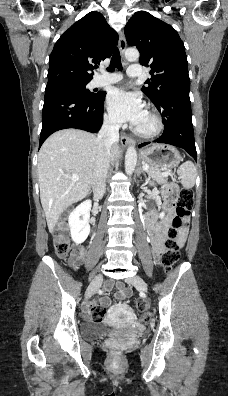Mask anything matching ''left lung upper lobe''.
Wrapping results in <instances>:
<instances>
[{"mask_svg":"<svg viewBox=\"0 0 228 396\" xmlns=\"http://www.w3.org/2000/svg\"><path fill=\"white\" fill-rule=\"evenodd\" d=\"M129 45L140 51V63L151 67V79L142 91L155 106L170 93L189 92L190 78L185 47L177 31L145 11L135 13L125 26ZM176 108L182 106L175 101Z\"/></svg>","mask_w":228,"mask_h":396,"instance_id":"1","label":"left lung upper lobe"}]
</instances>
